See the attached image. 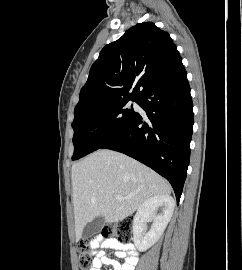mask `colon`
<instances>
[{"instance_id": "5ec220e1", "label": "colon", "mask_w": 242, "mask_h": 270, "mask_svg": "<svg viewBox=\"0 0 242 270\" xmlns=\"http://www.w3.org/2000/svg\"><path fill=\"white\" fill-rule=\"evenodd\" d=\"M133 223L131 220H121L100 233L95 234L90 241L82 242L78 247V264L81 270H91L93 259L91 256L92 243L99 239L129 240L132 235Z\"/></svg>"}]
</instances>
